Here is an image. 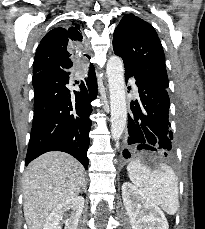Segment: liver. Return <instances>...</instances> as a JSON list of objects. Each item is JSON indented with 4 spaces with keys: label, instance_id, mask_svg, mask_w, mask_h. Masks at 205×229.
Wrapping results in <instances>:
<instances>
[{
    "label": "liver",
    "instance_id": "liver-1",
    "mask_svg": "<svg viewBox=\"0 0 205 229\" xmlns=\"http://www.w3.org/2000/svg\"><path fill=\"white\" fill-rule=\"evenodd\" d=\"M84 168L64 152H48L27 167L23 178V210L28 229H43L58 204L75 198L84 185Z\"/></svg>",
    "mask_w": 205,
    "mask_h": 229
}]
</instances>
